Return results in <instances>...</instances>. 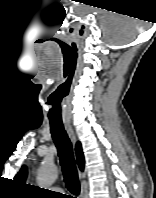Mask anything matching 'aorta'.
Returning <instances> with one entry per match:
<instances>
[{"label": "aorta", "instance_id": "762f6f07", "mask_svg": "<svg viewBox=\"0 0 156 198\" xmlns=\"http://www.w3.org/2000/svg\"><path fill=\"white\" fill-rule=\"evenodd\" d=\"M58 178V168L50 162H44L37 174V183L43 187H50Z\"/></svg>", "mask_w": 156, "mask_h": 198}]
</instances>
